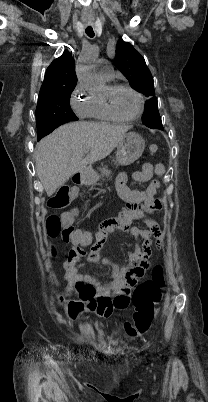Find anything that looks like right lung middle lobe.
<instances>
[{"instance_id":"dd1d6c3e","label":"right lung middle lobe","mask_w":208,"mask_h":402,"mask_svg":"<svg viewBox=\"0 0 208 402\" xmlns=\"http://www.w3.org/2000/svg\"><path fill=\"white\" fill-rule=\"evenodd\" d=\"M74 87L55 89L38 97L36 108L37 123L50 119H56L64 123L78 120L70 107V97ZM44 136V133L38 130L37 140L39 141Z\"/></svg>"}]
</instances>
